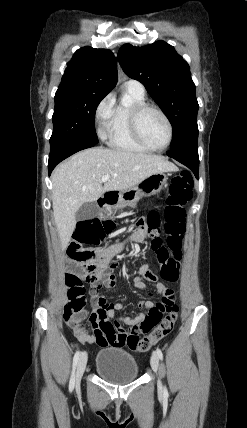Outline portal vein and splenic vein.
<instances>
[{
  "label": "portal vein and splenic vein",
  "mask_w": 247,
  "mask_h": 428,
  "mask_svg": "<svg viewBox=\"0 0 247 428\" xmlns=\"http://www.w3.org/2000/svg\"><path fill=\"white\" fill-rule=\"evenodd\" d=\"M110 176L109 175H105L101 178V182H106L107 180H109Z\"/></svg>",
  "instance_id": "18ae733b"
}]
</instances>
